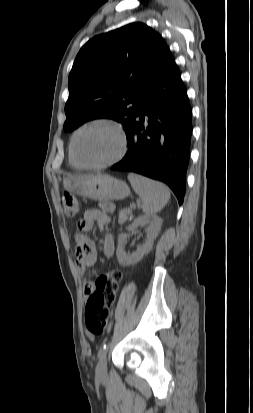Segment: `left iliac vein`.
I'll return each instance as SVG.
<instances>
[{
	"mask_svg": "<svg viewBox=\"0 0 253 413\" xmlns=\"http://www.w3.org/2000/svg\"><path fill=\"white\" fill-rule=\"evenodd\" d=\"M107 376V359L102 357L96 366V377L98 379H104Z\"/></svg>",
	"mask_w": 253,
	"mask_h": 413,
	"instance_id": "left-iliac-vein-1",
	"label": "left iliac vein"
}]
</instances>
